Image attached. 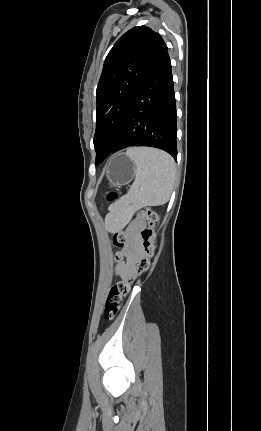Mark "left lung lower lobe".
Returning a JSON list of instances; mask_svg holds the SVG:
<instances>
[{"label":"left lung lower lobe","instance_id":"left-lung-lower-lobe-1","mask_svg":"<svg viewBox=\"0 0 261 431\" xmlns=\"http://www.w3.org/2000/svg\"><path fill=\"white\" fill-rule=\"evenodd\" d=\"M177 115L171 62L166 51L136 93L118 141L110 153L130 146H150L177 160Z\"/></svg>","mask_w":261,"mask_h":431}]
</instances>
